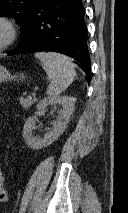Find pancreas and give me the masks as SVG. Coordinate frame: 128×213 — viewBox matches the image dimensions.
<instances>
[{"mask_svg": "<svg viewBox=\"0 0 128 213\" xmlns=\"http://www.w3.org/2000/svg\"><path fill=\"white\" fill-rule=\"evenodd\" d=\"M19 101H20V104L22 105V107L24 109H28L31 107V105L33 103L36 102V99H33L32 97H27L26 99H24L23 97H19Z\"/></svg>", "mask_w": 128, "mask_h": 213, "instance_id": "1", "label": "pancreas"}]
</instances>
